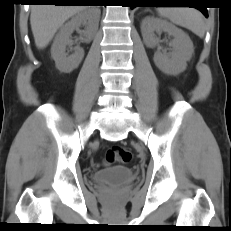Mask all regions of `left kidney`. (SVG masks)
Wrapping results in <instances>:
<instances>
[{"mask_svg":"<svg viewBox=\"0 0 231 231\" xmlns=\"http://www.w3.org/2000/svg\"><path fill=\"white\" fill-rule=\"evenodd\" d=\"M141 32L145 45L150 48L159 45V38L155 33L166 32L173 37L170 42L173 48L171 54L165 55L161 52L154 54V62L161 71L169 75H178L186 69L194 47L190 37L182 29L168 21L146 17L142 21Z\"/></svg>","mask_w":231,"mask_h":231,"instance_id":"1","label":"left kidney"}]
</instances>
